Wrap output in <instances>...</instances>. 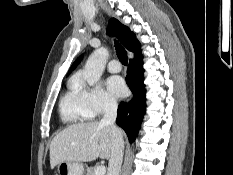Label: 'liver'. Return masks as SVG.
<instances>
[{
  "instance_id": "liver-1",
  "label": "liver",
  "mask_w": 233,
  "mask_h": 175,
  "mask_svg": "<svg viewBox=\"0 0 233 175\" xmlns=\"http://www.w3.org/2000/svg\"><path fill=\"white\" fill-rule=\"evenodd\" d=\"M112 146L113 134L109 125L97 121L73 124L58 133L51 142V169L61 162H91L98 157L108 160Z\"/></svg>"
}]
</instances>
